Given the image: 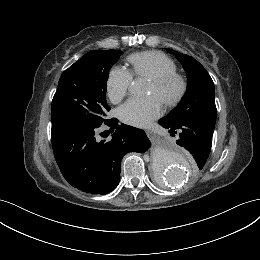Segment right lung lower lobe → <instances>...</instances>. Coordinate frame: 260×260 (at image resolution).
Instances as JSON below:
<instances>
[{
    "instance_id": "right-lung-lower-lobe-1",
    "label": "right lung lower lobe",
    "mask_w": 260,
    "mask_h": 260,
    "mask_svg": "<svg viewBox=\"0 0 260 260\" xmlns=\"http://www.w3.org/2000/svg\"><path fill=\"white\" fill-rule=\"evenodd\" d=\"M117 123L115 118L103 123L113 133L110 141L96 137L102 124L69 125L51 131L56 162L73 187L91 194H107L119 184L124 155L148 150L151 143L143 130Z\"/></svg>"
}]
</instances>
